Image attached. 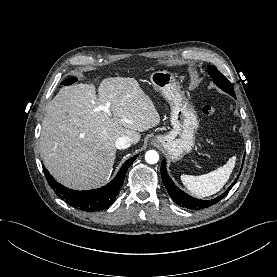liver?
<instances>
[{
  "label": "liver",
  "instance_id": "6515ba94",
  "mask_svg": "<svg viewBox=\"0 0 277 277\" xmlns=\"http://www.w3.org/2000/svg\"><path fill=\"white\" fill-rule=\"evenodd\" d=\"M110 104L109 112L97 110ZM160 123L151 98L133 78H106L93 85L64 86L46 107L40 153L50 174L68 188L92 189L106 183L120 136L137 144L139 132Z\"/></svg>",
  "mask_w": 277,
  "mask_h": 277
}]
</instances>
